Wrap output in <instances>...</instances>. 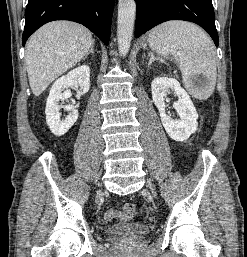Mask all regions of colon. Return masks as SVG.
<instances>
[{
  "instance_id": "obj_1",
  "label": "colon",
  "mask_w": 247,
  "mask_h": 257,
  "mask_svg": "<svg viewBox=\"0 0 247 257\" xmlns=\"http://www.w3.org/2000/svg\"><path fill=\"white\" fill-rule=\"evenodd\" d=\"M136 210L135 204L128 202L124 204L122 210L117 212L113 209H109L105 212L104 217L106 220H112L113 218H119L121 220H128L133 217Z\"/></svg>"
}]
</instances>
